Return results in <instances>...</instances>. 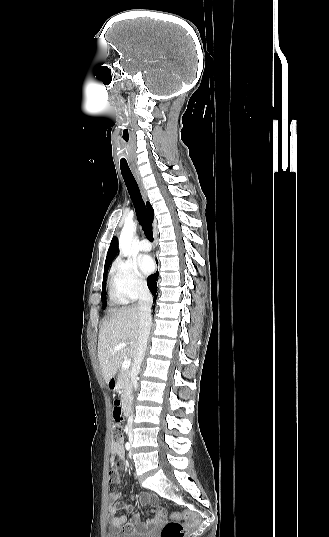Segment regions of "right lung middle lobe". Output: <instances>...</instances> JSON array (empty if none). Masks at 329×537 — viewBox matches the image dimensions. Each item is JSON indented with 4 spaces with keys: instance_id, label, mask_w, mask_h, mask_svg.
<instances>
[{
    "instance_id": "dd1d6c3e",
    "label": "right lung middle lobe",
    "mask_w": 329,
    "mask_h": 537,
    "mask_svg": "<svg viewBox=\"0 0 329 537\" xmlns=\"http://www.w3.org/2000/svg\"><path fill=\"white\" fill-rule=\"evenodd\" d=\"M108 268L104 269V276H103V282H102V303L103 306H106V276H107Z\"/></svg>"
}]
</instances>
